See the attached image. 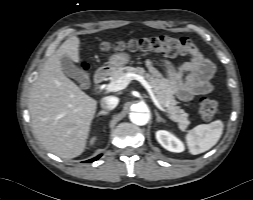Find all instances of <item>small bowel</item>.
Returning <instances> with one entry per match:
<instances>
[{
  "label": "small bowel",
  "instance_id": "1",
  "mask_svg": "<svg viewBox=\"0 0 253 200\" xmlns=\"http://www.w3.org/2000/svg\"><path fill=\"white\" fill-rule=\"evenodd\" d=\"M162 64L181 100L189 101L195 96L207 94L212 90L214 66L197 49H194L191 59L178 70L167 62ZM147 66L151 71L155 70L153 61H147Z\"/></svg>",
  "mask_w": 253,
  "mask_h": 200
}]
</instances>
